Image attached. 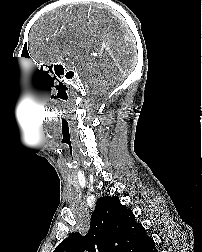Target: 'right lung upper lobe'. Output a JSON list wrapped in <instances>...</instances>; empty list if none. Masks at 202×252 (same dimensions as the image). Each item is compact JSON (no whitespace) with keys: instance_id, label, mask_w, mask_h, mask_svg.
<instances>
[{"instance_id":"1","label":"right lung upper lobe","mask_w":202,"mask_h":252,"mask_svg":"<svg viewBox=\"0 0 202 252\" xmlns=\"http://www.w3.org/2000/svg\"><path fill=\"white\" fill-rule=\"evenodd\" d=\"M152 243L132 210L121 205L118 197L105 196L97 200L87 235H70L54 252H83L85 248L91 252H145Z\"/></svg>"}]
</instances>
